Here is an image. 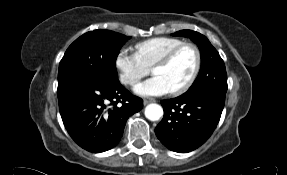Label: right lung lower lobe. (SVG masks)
Masks as SVG:
<instances>
[{"label": "right lung lower lobe", "instance_id": "obj_1", "mask_svg": "<svg viewBox=\"0 0 287 175\" xmlns=\"http://www.w3.org/2000/svg\"><path fill=\"white\" fill-rule=\"evenodd\" d=\"M59 110L69 135L83 149L100 153L121 139L127 119L143 100L120 83L72 79L58 84Z\"/></svg>", "mask_w": 287, "mask_h": 175}]
</instances>
